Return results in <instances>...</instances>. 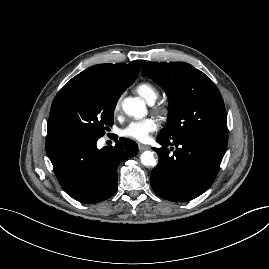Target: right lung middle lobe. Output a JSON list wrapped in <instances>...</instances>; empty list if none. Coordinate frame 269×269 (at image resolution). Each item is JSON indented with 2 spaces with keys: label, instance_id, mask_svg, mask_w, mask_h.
Wrapping results in <instances>:
<instances>
[{
  "label": "right lung middle lobe",
  "instance_id": "obj_1",
  "mask_svg": "<svg viewBox=\"0 0 269 269\" xmlns=\"http://www.w3.org/2000/svg\"><path fill=\"white\" fill-rule=\"evenodd\" d=\"M122 92L105 85L63 87L51 106L48 133L56 138L99 139L114 123V109Z\"/></svg>",
  "mask_w": 269,
  "mask_h": 269
}]
</instances>
